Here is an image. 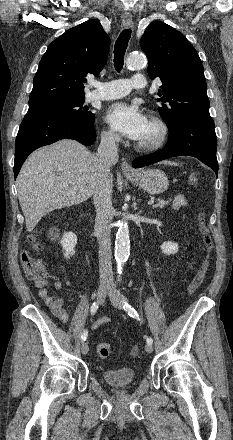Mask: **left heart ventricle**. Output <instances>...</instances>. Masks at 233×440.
Masks as SVG:
<instances>
[{"label":"left heart ventricle","instance_id":"1","mask_svg":"<svg viewBox=\"0 0 233 440\" xmlns=\"http://www.w3.org/2000/svg\"><path fill=\"white\" fill-rule=\"evenodd\" d=\"M157 135V129L148 122V125L140 138L141 141H150L154 139Z\"/></svg>","mask_w":233,"mask_h":440}]
</instances>
